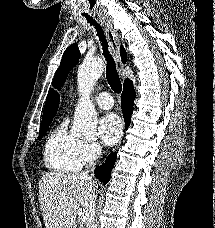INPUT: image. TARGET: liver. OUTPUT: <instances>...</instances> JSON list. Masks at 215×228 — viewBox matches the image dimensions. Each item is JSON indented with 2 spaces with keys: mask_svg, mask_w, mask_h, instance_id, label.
<instances>
[{
  "mask_svg": "<svg viewBox=\"0 0 215 228\" xmlns=\"http://www.w3.org/2000/svg\"><path fill=\"white\" fill-rule=\"evenodd\" d=\"M96 184L84 174L49 172L41 176L39 202L46 228H76L78 208L88 210Z\"/></svg>",
  "mask_w": 215,
  "mask_h": 228,
  "instance_id": "1",
  "label": "liver"
}]
</instances>
